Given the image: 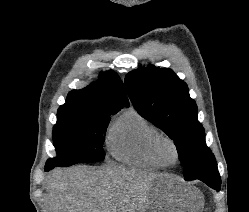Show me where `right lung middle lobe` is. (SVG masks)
Wrapping results in <instances>:
<instances>
[{
  "label": "right lung middle lobe",
  "instance_id": "right-lung-middle-lobe-1",
  "mask_svg": "<svg viewBox=\"0 0 249 212\" xmlns=\"http://www.w3.org/2000/svg\"><path fill=\"white\" fill-rule=\"evenodd\" d=\"M119 110L78 105H63L58 109L53 128L56 158L46 166H70L76 163L99 162L104 159L102 147L110 116Z\"/></svg>",
  "mask_w": 249,
  "mask_h": 212
}]
</instances>
